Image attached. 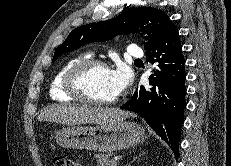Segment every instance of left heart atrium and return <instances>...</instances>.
Instances as JSON below:
<instances>
[{
  "label": "left heart atrium",
  "instance_id": "39dd6f15",
  "mask_svg": "<svg viewBox=\"0 0 231 166\" xmlns=\"http://www.w3.org/2000/svg\"><path fill=\"white\" fill-rule=\"evenodd\" d=\"M110 79L113 90L118 96L122 94L131 83V74L124 66H118L110 70Z\"/></svg>",
  "mask_w": 231,
  "mask_h": 166
}]
</instances>
